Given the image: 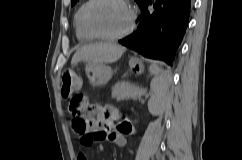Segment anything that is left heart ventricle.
I'll return each instance as SVG.
<instances>
[{"label":"left heart ventricle","mask_w":242,"mask_h":160,"mask_svg":"<svg viewBox=\"0 0 242 160\" xmlns=\"http://www.w3.org/2000/svg\"><path fill=\"white\" fill-rule=\"evenodd\" d=\"M130 13L120 0H100L90 13L93 27L100 33L115 35L128 25Z\"/></svg>","instance_id":"b2bd125f"}]
</instances>
